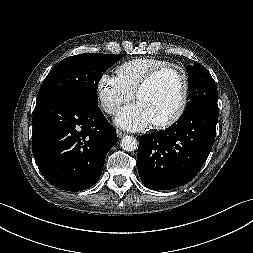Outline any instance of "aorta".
<instances>
[{"label": "aorta", "mask_w": 253, "mask_h": 253, "mask_svg": "<svg viewBox=\"0 0 253 253\" xmlns=\"http://www.w3.org/2000/svg\"><path fill=\"white\" fill-rule=\"evenodd\" d=\"M121 147L123 150L127 152L134 151L138 147V143L135 137L133 136H125L121 141Z\"/></svg>", "instance_id": "1"}]
</instances>
